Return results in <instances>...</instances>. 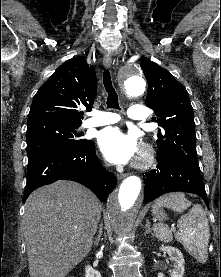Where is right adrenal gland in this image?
<instances>
[{"label": "right adrenal gland", "instance_id": "obj_1", "mask_svg": "<svg viewBox=\"0 0 221 277\" xmlns=\"http://www.w3.org/2000/svg\"><path fill=\"white\" fill-rule=\"evenodd\" d=\"M102 232H103V224L101 223V224L99 225V233H98L97 238H96L95 241H94V244H98V242L100 241V238H101V236H102Z\"/></svg>", "mask_w": 221, "mask_h": 277}]
</instances>
